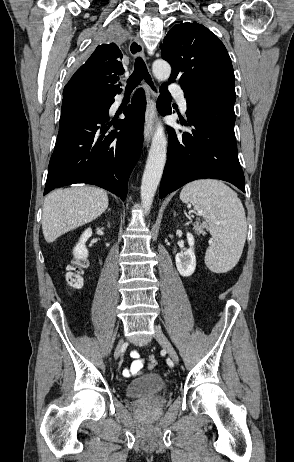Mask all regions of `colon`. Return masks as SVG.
Segmentation results:
<instances>
[{
    "instance_id": "obj_1",
    "label": "colon",
    "mask_w": 294,
    "mask_h": 462,
    "mask_svg": "<svg viewBox=\"0 0 294 462\" xmlns=\"http://www.w3.org/2000/svg\"><path fill=\"white\" fill-rule=\"evenodd\" d=\"M85 264L81 260H75L67 268L66 281L72 288H80L83 284V268ZM157 364V360L154 356H150L148 359V365L154 367Z\"/></svg>"
}]
</instances>
